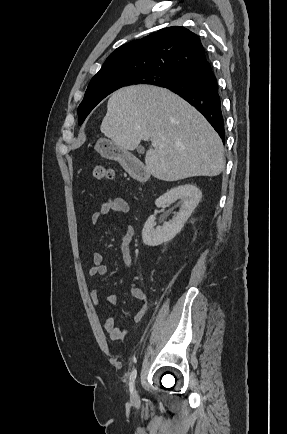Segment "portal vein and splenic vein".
Masks as SVG:
<instances>
[{"label":"portal vein and splenic vein","mask_w":287,"mask_h":434,"mask_svg":"<svg viewBox=\"0 0 287 434\" xmlns=\"http://www.w3.org/2000/svg\"><path fill=\"white\" fill-rule=\"evenodd\" d=\"M152 145H153V146H157V145H158V142H157V141H152Z\"/></svg>","instance_id":"1"}]
</instances>
